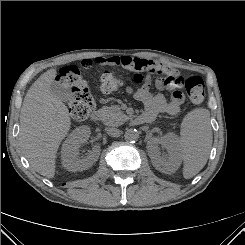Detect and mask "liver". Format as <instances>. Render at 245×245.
Here are the masks:
<instances>
[{
    "mask_svg": "<svg viewBox=\"0 0 245 245\" xmlns=\"http://www.w3.org/2000/svg\"><path fill=\"white\" fill-rule=\"evenodd\" d=\"M57 71L49 69L29 88L21 109L19 144L39 174L53 178L55 159L71 120L66 105L51 91Z\"/></svg>",
    "mask_w": 245,
    "mask_h": 245,
    "instance_id": "1",
    "label": "liver"
}]
</instances>
